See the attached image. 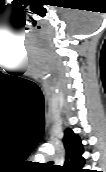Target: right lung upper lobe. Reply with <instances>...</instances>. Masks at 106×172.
Wrapping results in <instances>:
<instances>
[{"instance_id": "right-lung-upper-lobe-1", "label": "right lung upper lobe", "mask_w": 106, "mask_h": 172, "mask_svg": "<svg viewBox=\"0 0 106 172\" xmlns=\"http://www.w3.org/2000/svg\"><path fill=\"white\" fill-rule=\"evenodd\" d=\"M63 144L66 150V159L62 171L84 172L82 166L85 164V159L82 157L83 145L80 137L68 128L64 133Z\"/></svg>"}]
</instances>
